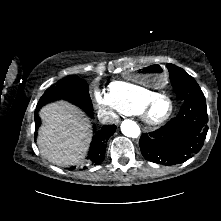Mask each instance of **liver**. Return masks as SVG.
<instances>
[{
  "instance_id": "1",
  "label": "liver",
  "mask_w": 221,
  "mask_h": 221,
  "mask_svg": "<svg viewBox=\"0 0 221 221\" xmlns=\"http://www.w3.org/2000/svg\"><path fill=\"white\" fill-rule=\"evenodd\" d=\"M40 117L43 124L37 144L42 156L59 166L78 164L91 141L90 124L84 113L66 101H59L43 107Z\"/></svg>"
}]
</instances>
